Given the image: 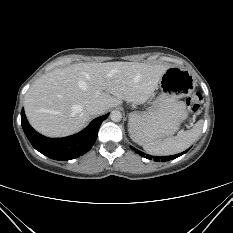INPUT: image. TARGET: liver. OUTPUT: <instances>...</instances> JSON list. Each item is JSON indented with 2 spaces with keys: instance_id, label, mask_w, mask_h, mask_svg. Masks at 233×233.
<instances>
[{
  "instance_id": "6515ba94",
  "label": "liver",
  "mask_w": 233,
  "mask_h": 233,
  "mask_svg": "<svg viewBox=\"0 0 233 233\" xmlns=\"http://www.w3.org/2000/svg\"><path fill=\"white\" fill-rule=\"evenodd\" d=\"M168 65L135 62L78 63L38 78L25 95L24 109L32 127L49 137H64L90 120L86 105L102 102L106 109L127 101L145 103Z\"/></svg>"
}]
</instances>
